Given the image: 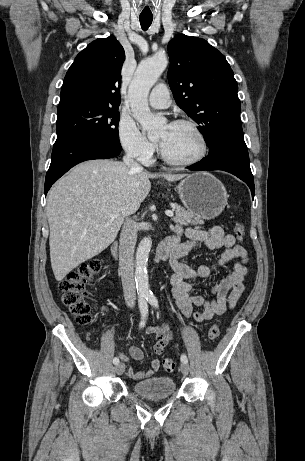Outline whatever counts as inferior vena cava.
Returning <instances> with one entry per match:
<instances>
[{"instance_id": "602c4592", "label": "inferior vena cava", "mask_w": 305, "mask_h": 461, "mask_svg": "<svg viewBox=\"0 0 305 461\" xmlns=\"http://www.w3.org/2000/svg\"><path fill=\"white\" fill-rule=\"evenodd\" d=\"M123 162L131 171L139 172L143 167L134 161L133 156L127 153ZM137 241V226L134 221L126 218L120 234L119 245V272L122 280L123 293L127 306L134 307L136 288L134 281V248Z\"/></svg>"}]
</instances>
